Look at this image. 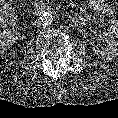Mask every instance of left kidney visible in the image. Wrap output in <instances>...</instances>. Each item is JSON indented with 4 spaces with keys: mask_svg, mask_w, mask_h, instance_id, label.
<instances>
[{
    "mask_svg": "<svg viewBox=\"0 0 118 118\" xmlns=\"http://www.w3.org/2000/svg\"><path fill=\"white\" fill-rule=\"evenodd\" d=\"M96 41H103L106 43L104 51L97 47H93L94 54L103 60L110 61L118 55V41L109 33L103 31L100 32L96 38Z\"/></svg>",
    "mask_w": 118,
    "mask_h": 118,
    "instance_id": "left-kidney-1",
    "label": "left kidney"
}]
</instances>
